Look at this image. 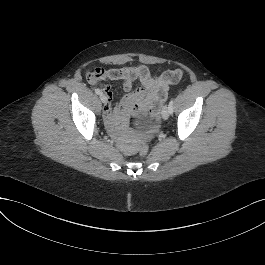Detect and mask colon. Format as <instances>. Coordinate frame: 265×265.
Instances as JSON below:
<instances>
[{
  "label": "colon",
  "instance_id": "colon-1",
  "mask_svg": "<svg viewBox=\"0 0 265 265\" xmlns=\"http://www.w3.org/2000/svg\"><path fill=\"white\" fill-rule=\"evenodd\" d=\"M104 75V72L100 68H95L93 70H90L87 73V78L89 81L91 80H100ZM138 152L142 157H145L148 154V146L146 144H141L138 147Z\"/></svg>",
  "mask_w": 265,
  "mask_h": 265
}]
</instances>
